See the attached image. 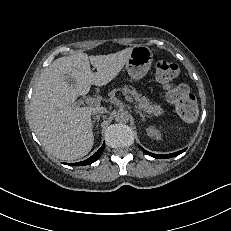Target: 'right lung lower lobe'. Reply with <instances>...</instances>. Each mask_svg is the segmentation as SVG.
<instances>
[{"mask_svg":"<svg viewBox=\"0 0 231 231\" xmlns=\"http://www.w3.org/2000/svg\"><path fill=\"white\" fill-rule=\"evenodd\" d=\"M104 147H105V144H103L102 147L93 156L86 159L85 161L78 162V163H72V164H68V165H72V166L89 165V164L95 162L101 156V154L104 150Z\"/></svg>","mask_w":231,"mask_h":231,"instance_id":"98d812e1","label":"right lung lower lobe"}]
</instances>
